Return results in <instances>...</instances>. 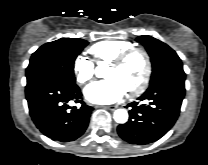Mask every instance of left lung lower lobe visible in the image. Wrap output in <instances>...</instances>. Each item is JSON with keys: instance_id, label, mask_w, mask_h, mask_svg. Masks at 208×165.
I'll list each match as a JSON object with an SVG mask.
<instances>
[{"instance_id": "left-lung-lower-lobe-1", "label": "left lung lower lobe", "mask_w": 208, "mask_h": 165, "mask_svg": "<svg viewBox=\"0 0 208 165\" xmlns=\"http://www.w3.org/2000/svg\"><path fill=\"white\" fill-rule=\"evenodd\" d=\"M185 74H171L150 84L138 98L145 104L132 102L129 121L118 126V134L131 144H147L165 135L176 122L185 95Z\"/></svg>"}]
</instances>
